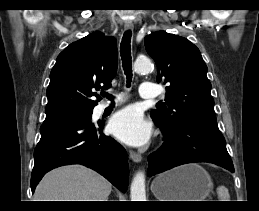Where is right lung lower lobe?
<instances>
[{"mask_svg": "<svg viewBox=\"0 0 259 211\" xmlns=\"http://www.w3.org/2000/svg\"><path fill=\"white\" fill-rule=\"evenodd\" d=\"M35 163L31 174V190L45 173L67 164H83L107 178L122 192L127 190L128 157L125 149L103 134L101 123L72 117L44 122L40 128Z\"/></svg>", "mask_w": 259, "mask_h": 211, "instance_id": "1", "label": "right lung lower lobe"}]
</instances>
